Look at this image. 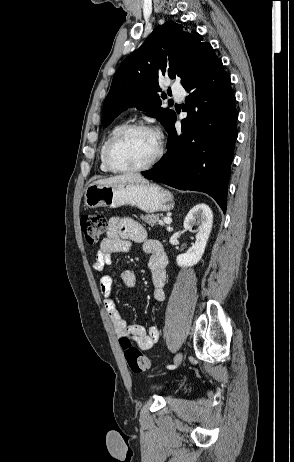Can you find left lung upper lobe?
Masks as SVG:
<instances>
[{
    "label": "left lung upper lobe",
    "mask_w": 294,
    "mask_h": 462,
    "mask_svg": "<svg viewBox=\"0 0 294 462\" xmlns=\"http://www.w3.org/2000/svg\"><path fill=\"white\" fill-rule=\"evenodd\" d=\"M216 58L211 45L198 33L172 21L156 27L117 69L103 104L102 125L108 126L120 110L135 106L152 114L167 129L175 112L161 108L159 77L180 78L185 85Z\"/></svg>",
    "instance_id": "5c2ea615"
}]
</instances>
